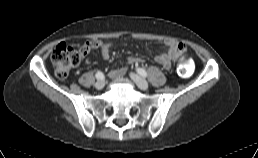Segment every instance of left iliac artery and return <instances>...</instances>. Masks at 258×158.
<instances>
[{"label": "left iliac artery", "mask_w": 258, "mask_h": 158, "mask_svg": "<svg viewBox=\"0 0 258 158\" xmlns=\"http://www.w3.org/2000/svg\"><path fill=\"white\" fill-rule=\"evenodd\" d=\"M136 71L138 72V74H140L142 77H146L147 76V72L145 69L143 68H137Z\"/></svg>", "instance_id": "44dca946"}]
</instances>
